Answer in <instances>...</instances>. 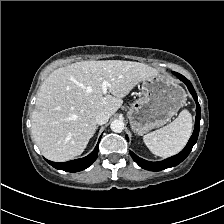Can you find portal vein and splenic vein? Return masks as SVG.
<instances>
[{"label": "portal vein and splenic vein", "instance_id": "portal-vein-and-splenic-vein-1", "mask_svg": "<svg viewBox=\"0 0 224 224\" xmlns=\"http://www.w3.org/2000/svg\"><path fill=\"white\" fill-rule=\"evenodd\" d=\"M109 86H110V84L107 81H103V83H102V91H103V94H106L107 93V88Z\"/></svg>", "mask_w": 224, "mask_h": 224}]
</instances>
